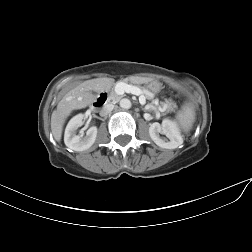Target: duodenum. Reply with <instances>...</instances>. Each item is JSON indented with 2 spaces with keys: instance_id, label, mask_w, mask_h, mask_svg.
Here are the masks:
<instances>
[{
  "instance_id": "duodenum-1",
  "label": "duodenum",
  "mask_w": 252,
  "mask_h": 252,
  "mask_svg": "<svg viewBox=\"0 0 252 252\" xmlns=\"http://www.w3.org/2000/svg\"><path fill=\"white\" fill-rule=\"evenodd\" d=\"M109 101V94L107 92L101 93L93 103L94 109H101Z\"/></svg>"
}]
</instances>
